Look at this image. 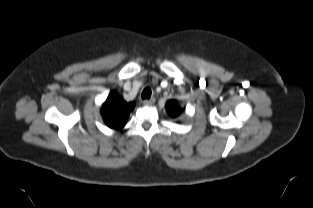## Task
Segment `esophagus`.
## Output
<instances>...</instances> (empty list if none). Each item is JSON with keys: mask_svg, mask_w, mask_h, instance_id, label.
Segmentation results:
<instances>
[{"mask_svg": "<svg viewBox=\"0 0 313 208\" xmlns=\"http://www.w3.org/2000/svg\"><path fill=\"white\" fill-rule=\"evenodd\" d=\"M154 102H155V98L153 97V98L144 100V101H143V104H144L145 106H151L152 104H154Z\"/></svg>", "mask_w": 313, "mask_h": 208, "instance_id": "obj_1", "label": "esophagus"}]
</instances>
